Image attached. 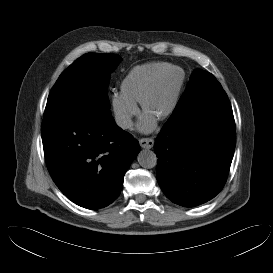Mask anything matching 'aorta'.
I'll return each instance as SVG.
<instances>
[{"instance_id": "762f6f07", "label": "aorta", "mask_w": 273, "mask_h": 273, "mask_svg": "<svg viewBox=\"0 0 273 273\" xmlns=\"http://www.w3.org/2000/svg\"><path fill=\"white\" fill-rule=\"evenodd\" d=\"M137 160L143 168H153L157 164L156 154L153 151L147 149L140 151L137 156Z\"/></svg>"}]
</instances>
